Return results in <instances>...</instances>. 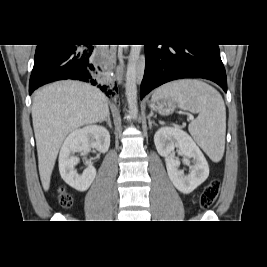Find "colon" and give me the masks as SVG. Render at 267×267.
<instances>
[{"label": "colon", "instance_id": "colon-1", "mask_svg": "<svg viewBox=\"0 0 267 267\" xmlns=\"http://www.w3.org/2000/svg\"><path fill=\"white\" fill-rule=\"evenodd\" d=\"M220 191V183L217 179L212 180L206 185L199 198V204L202 209H208L216 201ZM58 202L62 207H70L73 203L72 196L64 189H61L58 195Z\"/></svg>", "mask_w": 267, "mask_h": 267}]
</instances>
